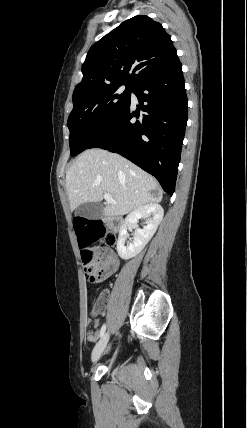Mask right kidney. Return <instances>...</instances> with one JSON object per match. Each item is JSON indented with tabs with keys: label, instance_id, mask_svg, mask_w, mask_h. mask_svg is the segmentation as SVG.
Returning <instances> with one entry per match:
<instances>
[{
	"label": "right kidney",
	"instance_id": "ca27d5eb",
	"mask_svg": "<svg viewBox=\"0 0 247 428\" xmlns=\"http://www.w3.org/2000/svg\"><path fill=\"white\" fill-rule=\"evenodd\" d=\"M151 215L152 217L149 221L146 222V226H144L143 229L137 228L133 235V241L128 242L127 229L136 225L139 219L148 218ZM163 215V208L157 203H150L132 211L126 217L125 223L119 231L117 242L118 255L124 260L138 255L155 234L160 222L163 219Z\"/></svg>",
	"mask_w": 247,
	"mask_h": 428
}]
</instances>
